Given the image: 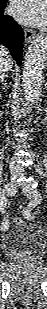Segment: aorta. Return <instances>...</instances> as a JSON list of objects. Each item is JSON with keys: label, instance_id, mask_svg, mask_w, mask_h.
I'll use <instances>...</instances> for the list:
<instances>
[{"label": "aorta", "instance_id": "1", "mask_svg": "<svg viewBox=\"0 0 47 309\" xmlns=\"http://www.w3.org/2000/svg\"><path fill=\"white\" fill-rule=\"evenodd\" d=\"M46 62L47 39L45 34H38L28 47L24 60L22 82L27 105L34 104L41 94Z\"/></svg>", "mask_w": 47, "mask_h": 309}]
</instances>
